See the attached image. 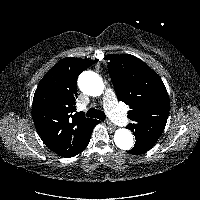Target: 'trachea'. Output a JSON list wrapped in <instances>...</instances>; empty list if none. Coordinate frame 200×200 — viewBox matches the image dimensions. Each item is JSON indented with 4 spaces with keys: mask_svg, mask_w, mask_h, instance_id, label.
<instances>
[{
    "mask_svg": "<svg viewBox=\"0 0 200 200\" xmlns=\"http://www.w3.org/2000/svg\"><path fill=\"white\" fill-rule=\"evenodd\" d=\"M86 116L87 117H91V118H97V119H100L102 121L105 120V114L103 111L101 110H97L95 108H90L87 113H86Z\"/></svg>",
    "mask_w": 200,
    "mask_h": 200,
    "instance_id": "obj_1",
    "label": "trachea"
}]
</instances>
